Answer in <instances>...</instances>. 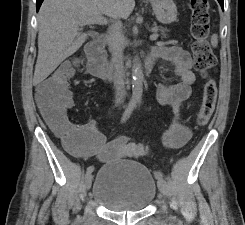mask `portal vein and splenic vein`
Instances as JSON below:
<instances>
[{
    "label": "portal vein and splenic vein",
    "mask_w": 245,
    "mask_h": 225,
    "mask_svg": "<svg viewBox=\"0 0 245 225\" xmlns=\"http://www.w3.org/2000/svg\"><path fill=\"white\" fill-rule=\"evenodd\" d=\"M108 23L107 19L103 16H97L89 19H85L82 21V25L86 24H99V25H106ZM158 38V34L156 31L150 36L151 40H156Z\"/></svg>",
    "instance_id": "obj_1"
}]
</instances>
